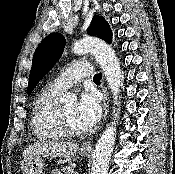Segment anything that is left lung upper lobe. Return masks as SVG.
Returning a JSON list of instances; mask_svg holds the SVG:
<instances>
[{
  "label": "left lung upper lobe",
  "instance_id": "left-lung-upper-lobe-1",
  "mask_svg": "<svg viewBox=\"0 0 175 174\" xmlns=\"http://www.w3.org/2000/svg\"><path fill=\"white\" fill-rule=\"evenodd\" d=\"M87 33L111 43L112 31L108 22L102 16H94ZM64 36L54 33L47 36L38 46L33 56L30 71L28 94L36 87L39 80L54 66L65 47Z\"/></svg>",
  "mask_w": 175,
  "mask_h": 174
}]
</instances>
